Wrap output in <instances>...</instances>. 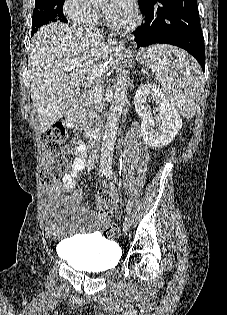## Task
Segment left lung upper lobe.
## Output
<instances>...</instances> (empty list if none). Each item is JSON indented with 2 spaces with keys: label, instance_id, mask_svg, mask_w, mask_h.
I'll use <instances>...</instances> for the list:
<instances>
[{
  "label": "left lung upper lobe",
  "instance_id": "5c2ea615",
  "mask_svg": "<svg viewBox=\"0 0 227 315\" xmlns=\"http://www.w3.org/2000/svg\"><path fill=\"white\" fill-rule=\"evenodd\" d=\"M151 0H138L139 6H142L148 2H150Z\"/></svg>",
  "mask_w": 227,
  "mask_h": 315
}]
</instances>
